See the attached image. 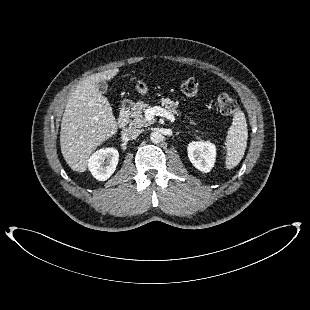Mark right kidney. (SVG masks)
I'll use <instances>...</instances> for the list:
<instances>
[{
	"instance_id": "ca27d5eb",
	"label": "right kidney",
	"mask_w": 310,
	"mask_h": 310,
	"mask_svg": "<svg viewBox=\"0 0 310 310\" xmlns=\"http://www.w3.org/2000/svg\"><path fill=\"white\" fill-rule=\"evenodd\" d=\"M119 152L114 148H103L96 151L88 160L91 174L99 181H105L116 170Z\"/></svg>"
}]
</instances>
